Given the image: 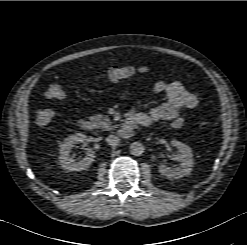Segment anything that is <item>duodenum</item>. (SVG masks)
Returning a JSON list of instances; mask_svg holds the SVG:
<instances>
[{
  "mask_svg": "<svg viewBox=\"0 0 247 245\" xmlns=\"http://www.w3.org/2000/svg\"><path fill=\"white\" fill-rule=\"evenodd\" d=\"M139 124L137 117L134 114H131L126 118L124 121L123 125L120 127L118 133L121 137L123 138H129L133 135L135 126ZM139 125L142 126H149V125H144V123H140ZM79 126L83 130H90L92 128V122L88 118H81L79 120Z\"/></svg>",
  "mask_w": 247,
  "mask_h": 245,
  "instance_id": "1",
  "label": "duodenum"
}]
</instances>
